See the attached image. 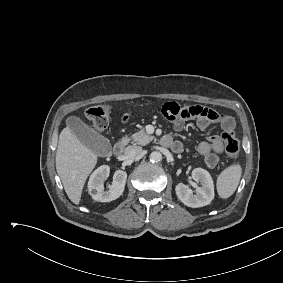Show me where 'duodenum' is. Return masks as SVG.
I'll return each instance as SVG.
<instances>
[{"label":"duodenum","mask_w":283,"mask_h":283,"mask_svg":"<svg viewBox=\"0 0 283 283\" xmlns=\"http://www.w3.org/2000/svg\"><path fill=\"white\" fill-rule=\"evenodd\" d=\"M161 143L164 146H168L170 144L169 140L166 137H163L161 139ZM126 146H127V140L125 138H121L120 140H118L113 148V152L115 156L120 157L124 153Z\"/></svg>","instance_id":"obj_1"}]
</instances>
